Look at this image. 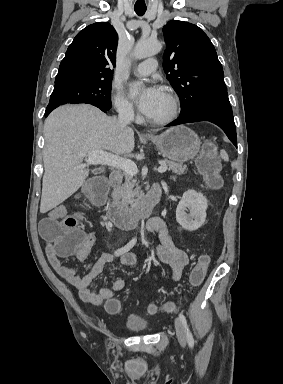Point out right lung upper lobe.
<instances>
[{
    "instance_id": "cb5924a9",
    "label": "right lung upper lobe",
    "mask_w": 283,
    "mask_h": 384,
    "mask_svg": "<svg viewBox=\"0 0 283 384\" xmlns=\"http://www.w3.org/2000/svg\"><path fill=\"white\" fill-rule=\"evenodd\" d=\"M118 35L107 22L80 31L68 47L55 79V87L92 80L112 79Z\"/></svg>"
}]
</instances>
